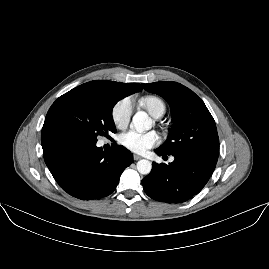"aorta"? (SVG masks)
I'll return each mask as SVG.
<instances>
[{"label": "aorta", "instance_id": "762f6f07", "mask_svg": "<svg viewBox=\"0 0 269 269\" xmlns=\"http://www.w3.org/2000/svg\"><path fill=\"white\" fill-rule=\"evenodd\" d=\"M132 126L137 132H144L153 127V120L145 111H138L132 117ZM137 171L142 175H148L152 164L147 159H141L136 164Z\"/></svg>", "mask_w": 269, "mask_h": 269}]
</instances>
